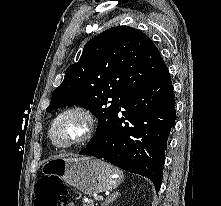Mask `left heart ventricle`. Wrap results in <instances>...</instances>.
I'll return each mask as SVG.
<instances>
[{"mask_svg": "<svg viewBox=\"0 0 221 206\" xmlns=\"http://www.w3.org/2000/svg\"><path fill=\"white\" fill-rule=\"evenodd\" d=\"M81 121L76 117H70L60 122L53 131V137L57 142H65L76 136L81 130Z\"/></svg>", "mask_w": 221, "mask_h": 206, "instance_id": "obj_1", "label": "left heart ventricle"}]
</instances>
